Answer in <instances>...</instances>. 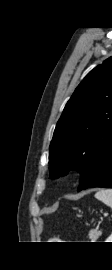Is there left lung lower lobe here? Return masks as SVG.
Wrapping results in <instances>:
<instances>
[{"label":"left lung lower lobe","instance_id":"obj_1","mask_svg":"<svg viewBox=\"0 0 112 270\" xmlns=\"http://www.w3.org/2000/svg\"><path fill=\"white\" fill-rule=\"evenodd\" d=\"M91 187L112 188V146L105 152L95 172L81 182L78 191Z\"/></svg>","mask_w":112,"mask_h":270}]
</instances>
